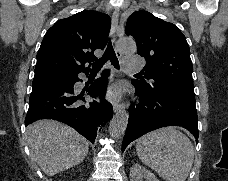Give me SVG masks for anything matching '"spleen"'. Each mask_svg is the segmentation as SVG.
I'll return each instance as SVG.
<instances>
[{
  "label": "spleen",
  "mask_w": 228,
  "mask_h": 181,
  "mask_svg": "<svg viewBox=\"0 0 228 181\" xmlns=\"http://www.w3.org/2000/svg\"><path fill=\"white\" fill-rule=\"evenodd\" d=\"M136 151L143 165L156 171L165 181H186L194 161L190 139L175 127L144 135L138 139Z\"/></svg>",
  "instance_id": "1"
}]
</instances>
